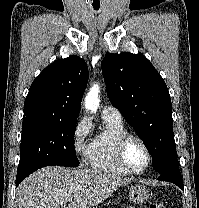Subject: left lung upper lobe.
Masks as SVG:
<instances>
[{
	"label": "left lung upper lobe",
	"instance_id": "5c2ea615",
	"mask_svg": "<svg viewBox=\"0 0 199 208\" xmlns=\"http://www.w3.org/2000/svg\"><path fill=\"white\" fill-rule=\"evenodd\" d=\"M102 73L111 104L134 128L158 173L179 164L167 86L143 54H107Z\"/></svg>",
	"mask_w": 199,
	"mask_h": 208
}]
</instances>
